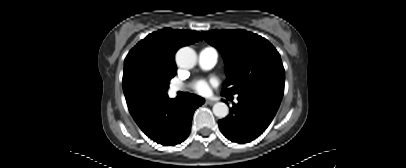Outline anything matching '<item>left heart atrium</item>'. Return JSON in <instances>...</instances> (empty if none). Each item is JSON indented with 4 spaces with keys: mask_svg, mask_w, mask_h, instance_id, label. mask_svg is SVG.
Returning <instances> with one entry per match:
<instances>
[{
    "mask_svg": "<svg viewBox=\"0 0 406 168\" xmlns=\"http://www.w3.org/2000/svg\"><path fill=\"white\" fill-rule=\"evenodd\" d=\"M193 89L200 95H207L210 91V83L207 80H197L193 85Z\"/></svg>",
    "mask_w": 406,
    "mask_h": 168,
    "instance_id": "obj_1",
    "label": "left heart atrium"
}]
</instances>
